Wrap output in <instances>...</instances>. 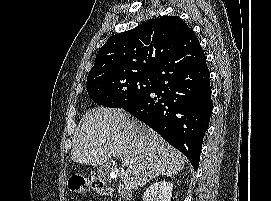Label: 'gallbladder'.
<instances>
[{
    "label": "gallbladder",
    "mask_w": 271,
    "mask_h": 201,
    "mask_svg": "<svg viewBox=\"0 0 271 201\" xmlns=\"http://www.w3.org/2000/svg\"><path fill=\"white\" fill-rule=\"evenodd\" d=\"M97 178L104 182H111L116 177V168L113 162H106L105 164L99 166L95 171Z\"/></svg>",
    "instance_id": "obj_1"
}]
</instances>
